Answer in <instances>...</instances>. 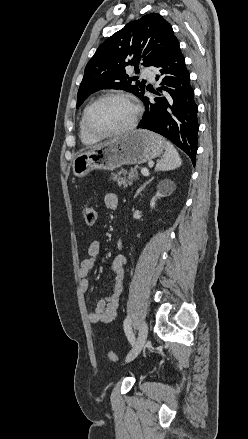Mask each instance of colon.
I'll return each mask as SVG.
<instances>
[{
	"mask_svg": "<svg viewBox=\"0 0 248 439\" xmlns=\"http://www.w3.org/2000/svg\"><path fill=\"white\" fill-rule=\"evenodd\" d=\"M83 219L88 227H92L95 224L96 212L92 204L86 203L83 207ZM107 358L111 362H118L119 358L117 354L111 350L107 351Z\"/></svg>",
	"mask_w": 248,
	"mask_h": 439,
	"instance_id": "1",
	"label": "colon"
}]
</instances>
